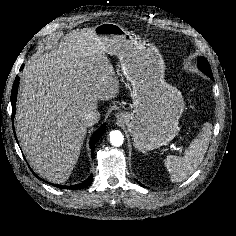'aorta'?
I'll return each instance as SVG.
<instances>
[{
    "label": "aorta",
    "mask_w": 236,
    "mask_h": 236,
    "mask_svg": "<svg viewBox=\"0 0 236 236\" xmlns=\"http://www.w3.org/2000/svg\"><path fill=\"white\" fill-rule=\"evenodd\" d=\"M110 142L113 146L119 147L124 142L123 134L119 130H113L109 134Z\"/></svg>",
    "instance_id": "aorta-1"
}]
</instances>
